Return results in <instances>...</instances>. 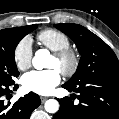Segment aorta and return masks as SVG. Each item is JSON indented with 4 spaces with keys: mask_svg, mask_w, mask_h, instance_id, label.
<instances>
[{
    "mask_svg": "<svg viewBox=\"0 0 119 119\" xmlns=\"http://www.w3.org/2000/svg\"><path fill=\"white\" fill-rule=\"evenodd\" d=\"M50 53L46 49H39L36 51L35 56L32 59V64L37 70L46 68V60L49 58ZM45 110L48 113H56L59 109V103L55 99H49L45 102Z\"/></svg>",
    "mask_w": 119,
    "mask_h": 119,
    "instance_id": "1",
    "label": "aorta"
}]
</instances>
